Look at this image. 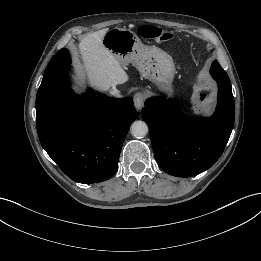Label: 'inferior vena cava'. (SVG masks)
<instances>
[{
    "label": "inferior vena cava",
    "instance_id": "602c4592",
    "mask_svg": "<svg viewBox=\"0 0 261 261\" xmlns=\"http://www.w3.org/2000/svg\"><path fill=\"white\" fill-rule=\"evenodd\" d=\"M110 93H111L112 95H114V96H117V97L120 96L119 91H118L117 89H115V88H114L112 91H110Z\"/></svg>",
    "mask_w": 261,
    "mask_h": 261
}]
</instances>
